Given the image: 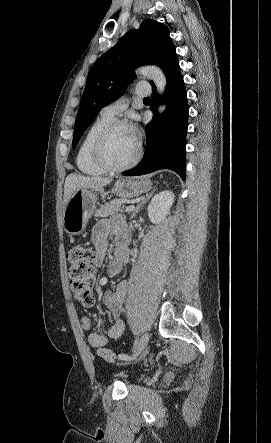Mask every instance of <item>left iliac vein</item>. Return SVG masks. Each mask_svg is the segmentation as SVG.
I'll use <instances>...</instances> for the list:
<instances>
[{
	"instance_id": "4c4485c4",
	"label": "left iliac vein",
	"mask_w": 271,
	"mask_h": 443,
	"mask_svg": "<svg viewBox=\"0 0 271 443\" xmlns=\"http://www.w3.org/2000/svg\"><path fill=\"white\" fill-rule=\"evenodd\" d=\"M148 341H149V334L148 333L143 334L133 350V356L140 355L142 353V351L145 349V347L147 346ZM127 363L128 362H126V364Z\"/></svg>"
}]
</instances>
